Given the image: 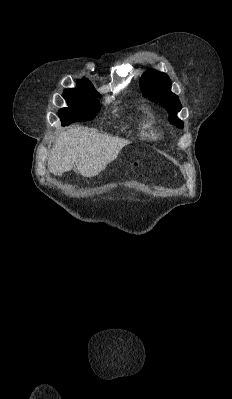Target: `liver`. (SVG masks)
<instances>
[{
	"instance_id": "liver-1",
	"label": "liver",
	"mask_w": 232,
	"mask_h": 399,
	"mask_svg": "<svg viewBox=\"0 0 232 399\" xmlns=\"http://www.w3.org/2000/svg\"><path fill=\"white\" fill-rule=\"evenodd\" d=\"M128 144L122 138L88 132L83 126H70L58 134L48 156V170L54 176H62L76 166L81 176L93 178L106 170Z\"/></svg>"
}]
</instances>
